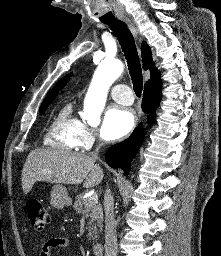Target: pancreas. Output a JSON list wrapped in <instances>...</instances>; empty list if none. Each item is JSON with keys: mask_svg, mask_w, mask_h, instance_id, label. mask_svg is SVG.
I'll return each instance as SVG.
<instances>
[{"mask_svg": "<svg viewBox=\"0 0 221 256\" xmlns=\"http://www.w3.org/2000/svg\"><path fill=\"white\" fill-rule=\"evenodd\" d=\"M74 208L77 213H82L85 216L90 217L88 223V239H95L98 237L99 229H102L103 212L102 206L98 202L91 201L90 198L84 197V194L76 196V202Z\"/></svg>", "mask_w": 221, "mask_h": 256, "instance_id": "pancreas-1", "label": "pancreas"}]
</instances>
